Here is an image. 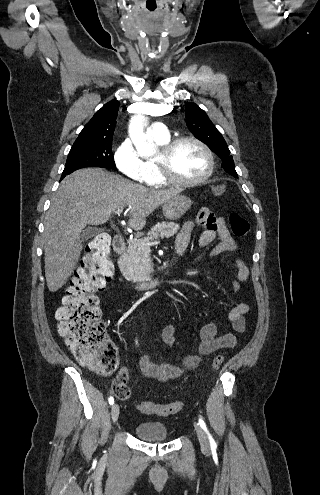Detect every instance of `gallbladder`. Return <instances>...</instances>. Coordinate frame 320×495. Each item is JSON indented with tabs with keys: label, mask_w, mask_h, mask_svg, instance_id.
<instances>
[{
	"label": "gallbladder",
	"mask_w": 320,
	"mask_h": 495,
	"mask_svg": "<svg viewBox=\"0 0 320 495\" xmlns=\"http://www.w3.org/2000/svg\"><path fill=\"white\" fill-rule=\"evenodd\" d=\"M100 232H101V230L99 228H97L95 226H90V227L82 230V232L80 234V240L81 241L88 240Z\"/></svg>",
	"instance_id": "1"
}]
</instances>
